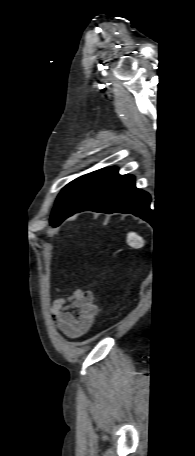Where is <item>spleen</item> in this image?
<instances>
[{"label":"spleen","mask_w":195,"mask_h":456,"mask_svg":"<svg viewBox=\"0 0 195 456\" xmlns=\"http://www.w3.org/2000/svg\"><path fill=\"white\" fill-rule=\"evenodd\" d=\"M127 241L132 247H139L144 243L143 239L134 232L128 233Z\"/></svg>","instance_id":"obj_1"}]
</instances>
